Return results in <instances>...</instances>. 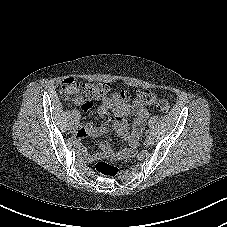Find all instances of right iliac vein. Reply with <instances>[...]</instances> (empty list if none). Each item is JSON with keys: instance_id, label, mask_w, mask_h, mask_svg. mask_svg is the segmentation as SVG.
Returning a JSON list of instances; mask_svg holds the SVG:
<instances>
[{"instance_id": "obj_1", "label": "right iliac vein", "mask_w": 227, "mask_h": 227, "mask_svg": "<svg viewBox=\"0 0 227 227\" xmlns=\"http://www.w3.org/2000/svg\"><path fill=\"white\" fill-rule=\"evenodd\" d=\"M76 130H77V126H73V127L71 128L72 133H75Z\"/></svg>"}]
</instances>
